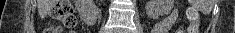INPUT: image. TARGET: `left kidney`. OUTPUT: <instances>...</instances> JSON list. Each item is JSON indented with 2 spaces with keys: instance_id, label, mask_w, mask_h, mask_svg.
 <instances>
[{
  "instance_id": "5707ae66",
  "label": "left kidney",
  "mask_w": 235,
  "mask_h": 33,
  "mask_svg": "<svg viewBox=\"0 0 235 33\" xmlns=\"http://www.w3.org/2000/svg\"><path fill=\"white\" fill-rule=\"evenodd\" d=\"M174 6V0H148L145 6L146 14L152 19L168 15Z\"/></svg>"
}]
</instances>
